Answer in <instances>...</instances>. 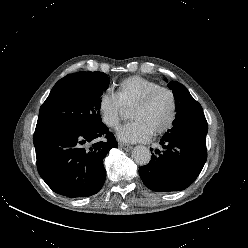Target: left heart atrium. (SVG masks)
I'll return each instance as SVG.
<instances>
[{"label": "left heart atrium", "instance_id": "1", "mask_svg": "<svg viewBox=\"0 0 248 248\" xmlns=\"http://www.w3.org/2000/svg\"><path fill=\"white\" fill-rule=\"evenodd\" d=\"M152 131L140 120H133L118 131V138L124 142L136 143L149 139Z\"/></svg>", "mask_w": 248, "mask_h": 248}]
</instances>
